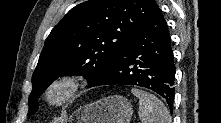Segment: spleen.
<instances>
[{"label":"spleen","instance_id":"spleen-1","mask_svg":"<svg viewBox=\"0 0 221 123\" xmlns=\"http://www.w3.org/2000/svg\"><path fill=\"white\" fill-rule=\"evenodd\" d=\"M131 92L139 99L142 123H171L168 109L156 96L137 88H132Z\"/></svg>","mask_w":221,"mask_h":123}]
</instances>
